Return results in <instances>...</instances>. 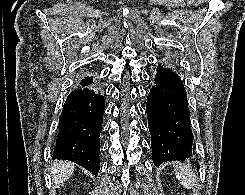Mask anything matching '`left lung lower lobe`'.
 <instances>
[{"label": "left lung lower lobe", "mask_w": 245, "mask_h": 195, "mask_svg": "<svg viewBox=\"0 0 245 195\" xmlns=\"http://www.w3.org/2000/svg\"><path fill=\"white\" fill-rule=\"evenodd\" d=\"M146 112L154 165L190 158L193 134L186 91L180 76L168 64L157 67Z\"/></svg>", "instance_id": "0a47b994"}]
</instances>
